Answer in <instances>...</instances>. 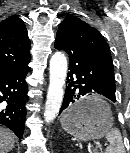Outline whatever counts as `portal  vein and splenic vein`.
<instances>
[{"instance_id": "18ae733b", "label": "portal vein and splenic vein", "mask_w": 130, "mask_h": 153, "mask_svg": "<svg viewBox=\"0 0 130 153\" xmlns=\"http://www.w3.org/2000/svg\"><path fill=\"white\" fill-rule=\"evenodd\" d=\"M98 147H102V145H98Z\"/></svg>"}]
</instances>
